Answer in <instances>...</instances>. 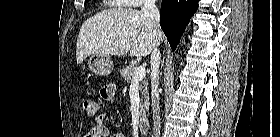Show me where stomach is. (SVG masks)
Listing matches in <instances>:
<instances>
[{"label":"stomach","mask_w":280,"mask_h":137,"mask_svg":"<svg viewBox=\"0 0 280 137\" xmlns=\"http://www.w3.org/2000/svg\"><path fill=\"white\" fill-rule=\"evenodd\" d=\"M89 69L98 76H108L113 70V62L109 56L93 54L88 60Z\"/></svg>","instance_id":"stomach-1"}]
</instances>
